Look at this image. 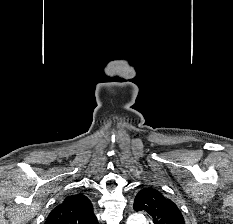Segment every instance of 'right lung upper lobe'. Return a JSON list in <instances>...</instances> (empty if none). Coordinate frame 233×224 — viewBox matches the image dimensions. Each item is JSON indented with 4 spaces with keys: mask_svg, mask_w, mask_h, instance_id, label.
<instances>
[{
    "mask_svg": "<svg viewBox=\"0 0 233 224\" xmlns=\"http://www.w3.org/2000/svg\"><path fill=\"white\" fill-rule=\"evenodd\" d=\"M45 224H98L90 200L82 195L67 196L47 217Z\"/></svg>",
    "mask_w": 233,
    "mask_h": 224,
    "instance_id": "right-lung-upper-lobe-1",
    "label": "right lung upper lobe"
}]
</instances>
